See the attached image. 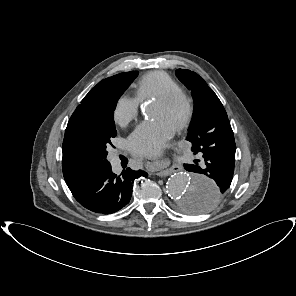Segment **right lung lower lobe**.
Here are the masks:
<instances>
[{
	"label": "right lung lower lobe",
	"mask_w": 296,
	"mask_h": 296,
	"mask_svg": "<svg viewBox=\"0 0 296 296\" xmlns=\"http://www.w3.org/2000/svg\"><path fill=\"white\" fill-rule=\"evenodd\" d=\"M147 177L145 171L127 168L117 176L110 163L102 165L69 187L74 198L86 209L100 214L119 211L130 202L134 180Z\"/></svg>",
	"instance_id": "right-lung-lower-lobe-1"
}]
</instances>
